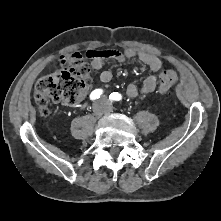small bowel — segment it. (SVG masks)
I'll list each match as a JSON object with an SVG mask.
<instances>
[{
    "label": "small bowel",
    "instance_id": "obj_1",
    "mask_svg": "<svg viewBox=\"0 0 221 221\" xmlns=\"http://www.w3.org/2000/svg\"><path fill=\"white\" fill-rule=\"evenodd\" d=\"M89 58L91 59L92 67L95 70H101L106 66L107 60H115L119 63H124L128 59L137 58L151 74L143 81L141 87H137L134 83L127 86L126 94L129 98H135L139 94L152 93L157 86L158 72L162 67V63L156 56L137 51L133 48H128L124 52L118 50H90L88 51ZM99 78L102 82L107 83L112 79V73L109 70H103Z\"/></svg>",
    "mask_w": 221,
    "mask_h": 221
}]
</instances>
